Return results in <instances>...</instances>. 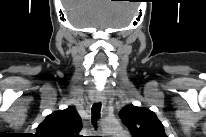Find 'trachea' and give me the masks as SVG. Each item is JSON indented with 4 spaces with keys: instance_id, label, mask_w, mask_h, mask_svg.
<instances>
[{
    "instance_id": "1",
    "label": "trachea",
    "mask_w": 206,
    "mask_h": 137,
    "mask_svg": "<svg viewBox=\"0 0 206 137\" xmlns=\"http://www.w3.org/2000/svg\"><path fill=\"white\" fill-rule=\"evenodd\" d=\"M101 103H95L92 106V124L97 127V121L100 117Z\"/></svg>"
}]
</instances>
